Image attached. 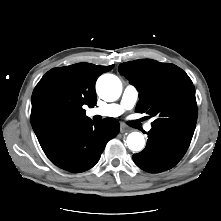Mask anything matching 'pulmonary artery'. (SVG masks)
Segmentation results:
<instances>
[{"label": "pulmonary artery", "mask_w": 221, "mask_h": 221, "mask_svg": "<svg viewBox=\"0 0 221 221\" xmlns=\"http://www.w3.org/2000/svg\"><path fill=\"white\" fill-rule=\"evenodd\" d=\"M139 92L134 85H127L123 91L120 103L106 104L98 108L90 110L91 115H101L105 117H117L121 115L124 110H130L134 107L138 100ZM151 124L145 126V130H151Z\"/></svg>", "instance_id": "1"}]
</instances>
